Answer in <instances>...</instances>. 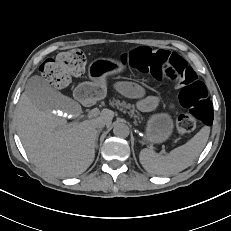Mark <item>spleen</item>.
<instances>
[{
	"label": "spleen",
	"instance_id": "spleen-1",
	"mask_svg": "<svg viewBox=\"0 0 231 231\" xmlns=\"http://www.w3.org/2000/svg\"><path fill=\"white\" fill-rule=\"evenodd\" d=\"M209 133L210 128L204 126L190 141L173 149L165 156L145 148L140 152V163L152 175L169 176L181 172L189 167L202 152Z\"/></svg>",
	"mask_w": 231,
	"mask_h": 231
}]
</instances>
